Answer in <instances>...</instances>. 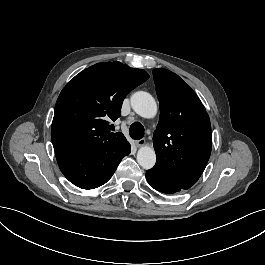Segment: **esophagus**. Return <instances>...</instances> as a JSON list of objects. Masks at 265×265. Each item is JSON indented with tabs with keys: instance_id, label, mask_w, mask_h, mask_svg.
<instances>
[{
	"instance_id": "obj_1",
	"label": "esophagus",
	"mask_w": 265,
	"mask_h": 265,
	"mask_svg": "<svg viewBox=\"0 0 265 265\" xmlns=\"http://www.w3.org/2000/svg\"><path fill=\"white\" fill-rule=\"evenodd\" d=\"M146 143V140L145 139H140L138 141L135 142L136 146L137 147H141V146H144Z\"/></svg>"
}]
</instances>
